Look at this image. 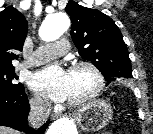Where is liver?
I'll return each mask as SVG.
<instances>
[{
  "label": "liver",
  "instance_id": "6515ba94",
  "mask_svg": "<svg viewBox=\"0 0 153 134\" xmlns=\"http://www.w3.org/2000/svg\"><path fill=\"white\" fill-rule=\"evenodd\" d=\"M0 134H19L18 131H15L8 127L0 126Z\"/></svg>",
  "mask_w": 153,
  "mask_h": 134
}]
</instances>
